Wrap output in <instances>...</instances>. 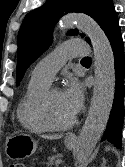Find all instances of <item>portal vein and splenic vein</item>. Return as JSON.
I'll list each match as a JSON object with an SVG mask.
<instances>
[{
	"label": "portal vein and splenic vein",
	"instance_id": "portal-vein-and-splenic-vein-1",
	"mask_svg": "<svg viewBox=\"0 0 125 167\" xmlns=\"http://www.w3.org/2000/svg\"><path fill=\"white\" fill-rule=\"evenodd\" d=\"M62 163V160H57L56 161V164H61Z\"/></svg>",
	"mask_w": 125,
	"mask_h": 167
}]
</instances>
